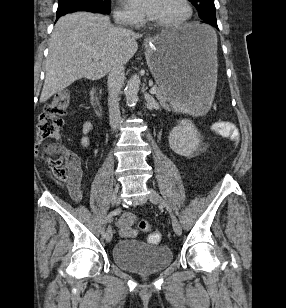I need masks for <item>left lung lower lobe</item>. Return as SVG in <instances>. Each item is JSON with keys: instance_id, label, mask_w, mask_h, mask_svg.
Returning <instances> with one entry per match:
<instances>
[{"instance_id": "1", "label": "left lung lower lobe", "mask_w": 286, "mask_h": 308, "mask_svg": "<svg viewBox=\"0 0 286 308\" xmlns=\"http://www.w3.org/2000/svg\"><path fill=\"white\" fill-rule=\"evenodd\" d=\"M202 22L210 24V25H212V26H214L215 28L218 29L215 15H211V16H208V17L202 19Z\"/></svg>"}]
</instances>
